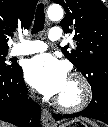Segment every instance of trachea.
I'll list each match as a JSON object with an SVG mask.
<instances>
[{
	"mask_svg": "<svg viewBox=\"0 0 108 127\" xmlns=\"http://www.w3.org/2000/svg\"><path fill=\"white\" fill-rule=\"evenodd\" d=\"M45 24V13H44V4L39 3L36 9L35 21L32 28V33H37L44 29Z\"/></svg>",
	"mask_w": 108,
	"mask_h": 127,
	"instance_id": "3493384b",
	"label": "trachea"
}]
</instances>
